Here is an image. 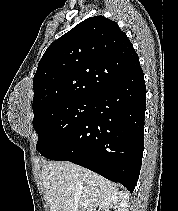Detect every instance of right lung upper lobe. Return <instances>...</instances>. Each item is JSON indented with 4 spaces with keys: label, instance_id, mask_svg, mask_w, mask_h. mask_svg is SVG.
I'll return each instance as SVG.
<instances>
[{
    "label": "right lung upper lobe",
    "instance_id": "1",
    "mask_svg": "<svg viewBox=\"0 0 178 211\" xmlns=\"http://www.w3.org/2000/svg\"><path fill=\"white\" fill-rule=\"evenodd\" d=\"M139 70L138 55L118 24L90 17L42 56L33 80V112L58 101L95 99Z\"/></svg>",
    "mask_w": 178,
    "mask_h": 211
}]
</instances>
